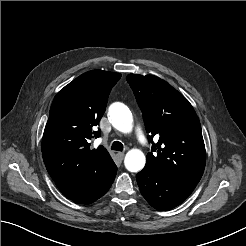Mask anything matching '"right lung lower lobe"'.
I'll return each mask as SVG.
<instances>
[{"label": "right lung lower lobe", "mask_w": 246, "mask_h": 246, "mask_svg": "<svg viewBox=\"0 0 246 246\" xmlns=\"http://www.w3.org/2000/svg\"><path fill=\"white\" fill-rule=\"evenodd\" d=\"M116 172V166L110 170H92L83 176L57 182L56 185L62 194L70 200L81 204H90L109 190Z\"/></svg>", "instance_id": "right-lung-lower-lobe-1"}]
</instances>
